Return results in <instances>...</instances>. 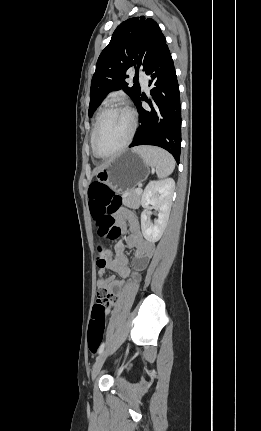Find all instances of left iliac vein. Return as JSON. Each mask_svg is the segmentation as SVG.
<instances>
[{
	"mask_svg": "<svg viewBox=\"0 0 261 431\" xmlns=\"http://www.w3.org/2000/svg\"><path fill=\"white\" fill-rule=\"evenodd\" d=\"M108 354H109V350L105 349L97 358V360L93 366V369H92V380H95L96 377L98 376L105 360L107 359Z\"/></svg>",
	"mask_w": 261,
	"mask_h": 431,
	"instance_id": "left-iliac-vein-1",
	"label": "left iliac vein"
}]
</instances>
